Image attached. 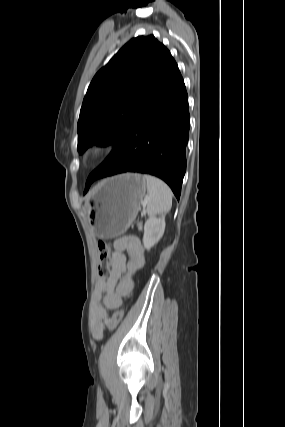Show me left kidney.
Listing matches in <instances>:
<instances>
[{
    "label": "left kidney",
    "mask_w": 285,
    "mask_h": 427,
    "mask_svg": "<svg viewBox=\"0 0 285 427\" xmlns=\"http://www.w3.org/2000/svg\"><path fill=\"white\" fill-rule=\"evenodd\" d=\"M165 218H150L145 222L143 245L145 249L150 250L162 238L165 231Z\"/></svg>",
    "instance_id": "left-kidney-1"
}]
</instances>
